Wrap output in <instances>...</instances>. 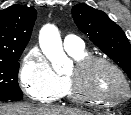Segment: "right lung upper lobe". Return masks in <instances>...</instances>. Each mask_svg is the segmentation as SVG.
<instances>
[{"label":"right lung upper lobe","mask_w":131,"mask_h":115,"mask_svg":"<svg viewBox=\"0 0 131 115\" xmlns=\"http://www.w3.org/2000/svg\"><path fill=\"white\" fill-rule=\"evenodd\" d=\"M36 17V10L27 6L13 5L0 11V59L25 49Z\"/></svg>","instance_id":"obj_1"}]
</instances>
